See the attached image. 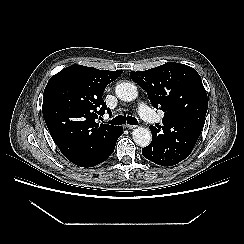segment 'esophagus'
<instances>
[{"mask_svg": "<svg viewBox=\"0 0 244 244\" xmlns=\"http://www.w3.org/2000/svg\"><path fill=\"white\" fill-rule=\"evenodd\" d=\"M136 126H134V125H130V124H127L126 125V128H128V129H134Z\"/></svg>", "mask_w": 244, "mask_h": 244, "instance_id": "1", "label": "esophagus"}]
</instances>
